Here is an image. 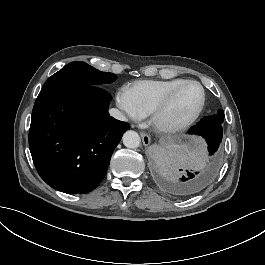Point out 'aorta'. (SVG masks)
I'll return each mask as SVG.
<instances>
[{"label": "aorta", "instance_id": "1", "mask_svg": "<svg viewBox=\"0 0 265 265\" xmlns=\"http://www.w3.org/2000/svg\"><path fill=\"white\" fill-rule=\"evenodd\" d=\"M123 144L127 148H137L140 145V137L137 132L133 130H128L124 133L123 137Z\"/></svg>", "mask_w": 265, "mask_h": 265}]
</instances>
